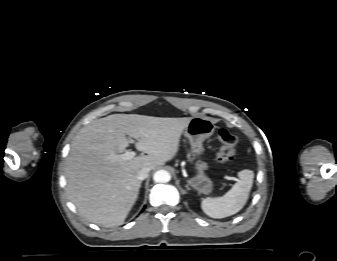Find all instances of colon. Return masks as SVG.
I'll return each instance as SVG.
<instances>
[{"mask_svg":"<svg viewBox=\"0 0 337 261\" xmlns=\"http://www.w3.org/2000/svg\"><path fill=\"white\" fill-rule=\"evenodd\" d=\"M219 149L216 154V160L220 164L230 162L236 150L237 138L235 135L225 129H221L218 133Z\"/></svg>","mask_w":337,"mask_h":261,"instance_id":"5ec220e1","label":"colon"}]
</instances>
